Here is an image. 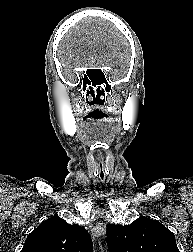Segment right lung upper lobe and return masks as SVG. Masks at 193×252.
I'll return each instance as SVG.
<instances>
[{
  "label": "right lung upper lobe",
  "mask_w": 193,
  "mask_h": 252,
  "mask_svg": "<svg viewBox=\"0 0 193 252\" xmlns=\"http://www.w3.org/2000/svg\"><path fill=\"white\" fill-rule=\"evenodd\" d=\"M87 230L54 216L43 221L27 237L21 252H92Z\"/></svg>",
  "instance_id": "1"
}]
</instances>
